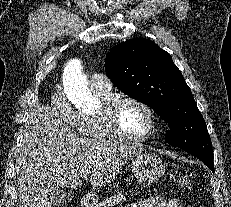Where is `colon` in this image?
Returning <instances> with one entry per match:
<instances>
[{
	"label": "colon",
	"mask_w": 231,
	"mask_h": 207,
	"mask_svg": "<svg viewBox=\"0 0 231 207\" xmlns=\"http://www.w3.org/2000/svg\"><path fill=\"white\" fill-rule=\"evenodd\" d=\"M175 181L181 188L188 189L191 187V179L187 175H176ZM198 207H201V206H198Z\"/></svg>",
	"instance_id": "colon-1"
}]
</instances>
